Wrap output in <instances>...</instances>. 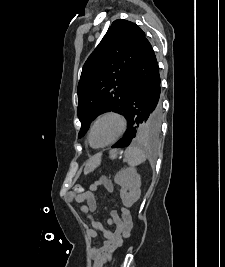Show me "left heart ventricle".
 I'll use <instances>...</instances> for the list:
<instances>
[{
	"instance_id": "obj_1",
	"label": "left heart ventricle",
	"mask_w": 225,
	"mask_h": 267,
	"mask_svg": "<svg viewBox=\"0 0 225 267\" xmlns=\"http://www.w3.org/2000/svg\"><path fill=\"white\" fill-rule=\"evenodd\" d=\"M119 128V121L114 117H106L99 120L92 131V144L100 146L107 143L117 135Z\"/></svg>"
}]
</instances>
